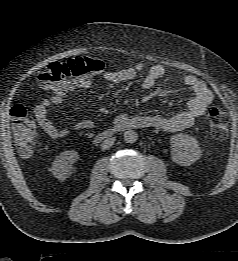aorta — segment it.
I'll return each instance as SVG.
<instances>
[{
  "instance_id": "obj_1",
  "label": "aorta",
  "mask_w": 238,
  "mask_h": 261,
  "mask_svg": "<svg viewBox=\"0 0 238 261\" xmlns=\"http://www.w3.org/2000/svg\"><path fill=\"white\" fill-rule=\"evenodd\" d=\"M138 139V134L133 130H128L124 133V140L126 143H134Z\"/></svg>"
}]
</instances>
